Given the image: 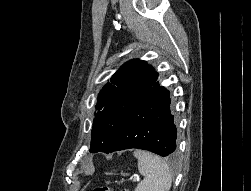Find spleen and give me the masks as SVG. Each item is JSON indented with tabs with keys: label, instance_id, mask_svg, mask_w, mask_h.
Listing matches in <instances>:
<instances>
[{
	"label": "spleen",
	"instance_id": "3e777b00",
	"mask_svg": "<svg viewBox=\"0 0 251 191\" xmlns=\"http://www.w3.org/2000/svg\"><path fill=\"white\" fill-rule=\"evenodd\" d=\"M133 155L138 159V169L144 175L143 181L138 183L135 191H169L172 183V171L159 155L135 149Z\"/></svg>",
	"mask_w": 251,
	"mask_h": 191
}]
</instances>
